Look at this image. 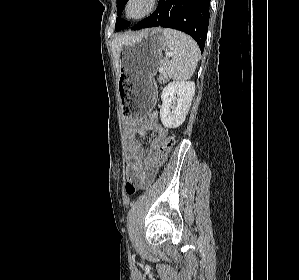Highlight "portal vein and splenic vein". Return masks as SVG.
I'll use <instances>...</instances> for the list:
<instances>
[{
  "label": "portal vein and splenic vein",
  "mask_w": 299,
  "mask_h": 280,
  "mask_svg": "<svg viewBox=\"0 0 299 280\" xmlns=\"http://www.w3.org/2000/svg\"><path fill=\"white\" fill-rule=\"evenodd\" d=\"M172 54H170V53H168V56H171ZM165 71V68L163 67V66H161L160 68H159V72H164Z\"/></svg>",
  "instance_id": "obj_1"
}]
</instances>
